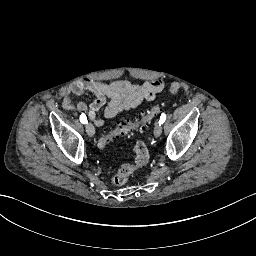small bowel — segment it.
Returning a JSON list of instances; mask_svg holds the SVG:
<instances>
[{
    "label": "small bowel",
    "mask_w": 256,
    "mask_h": 256,
    "mask_svg": "<svg viewBox=\"0 0 256 256\" xmlns=\"http://www.w3.org/2000/svg\"><path fill=\"white\" fill-rule=\"evenodd\" d=\"M163 89L164 83L160 80L134 84L127 80L103 83L84 79L64 88L60 96L65 110L86 113L94 124L100 127L104 125V120L97 116L99 111H102L107 119L114 118L124 110L137 108L144 101H153ZM85 92H91L95 96V100L90 105L84 101L73 100L71 97Z\"/></svg>",
    "instance_id": "c3829d8e"
}]
</instances>
